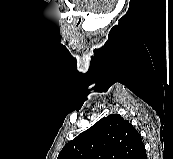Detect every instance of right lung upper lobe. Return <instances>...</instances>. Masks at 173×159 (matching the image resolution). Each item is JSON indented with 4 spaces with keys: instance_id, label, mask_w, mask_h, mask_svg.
<instances>
[{
    "instance_id": "obj_1",
    "label": "right lung upper lobe",
    "mask_w": 173,
    "mask_h": 159,
    "mask_svg": "<svg viewBox=\"0 0 173 159\" xmlns=\"http://www.w3.org/2000/svg\"><path fill=\"white\" fill-rule=\"evenodd\" d=\"M145 152L137 130L113 114L68 142L57 159H139Z\"/></svg>"
}]
</instances>
